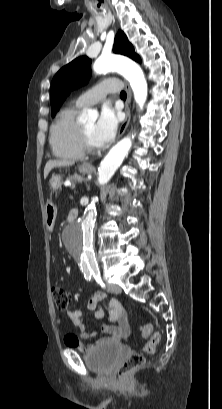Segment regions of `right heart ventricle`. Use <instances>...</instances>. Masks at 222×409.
<instances>
[{
  "label": "right heart ventricle",
  "instance_id": "right-heart-ventricle-1",
  "mask_svg": "<svg viewBox=\"0 0 222 409\" xmlns=\"http://www.w3.org/2000/svg\"><path fill=\"white\" fill-rule=\"evenodd\" d=\"M83 107L77 103L64 107L57 115L50 131V144L54 155L64 160L83 156L79 145L80 123L78 116Z\"/></svg>",
  "mask_w": 222,
  "mask_h": 409
}]
</instances>
